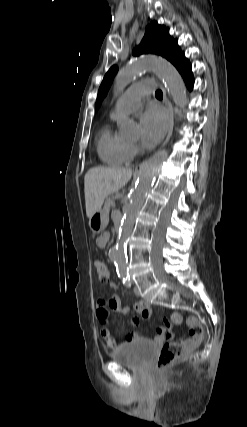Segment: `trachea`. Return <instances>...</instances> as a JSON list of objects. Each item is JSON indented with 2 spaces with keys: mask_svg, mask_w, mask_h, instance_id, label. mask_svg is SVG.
<instances>
[{
  "mask_svg": "<svg viewBox=\"0 0 247 427\" xmlns=\"http://www.w3.org/2000/svg\"><path fill=\"white\" fill-rule=\"evenodd\" d=\"M155 96L156 97H162L163 96L162 91L161 90H157L156 93H155Z\"/></svg>",
  "mask_w": 247,
  "mask_h": 427,
  "instance_id": "3493384b",
  "label": "trachea"
}]
</instances>
